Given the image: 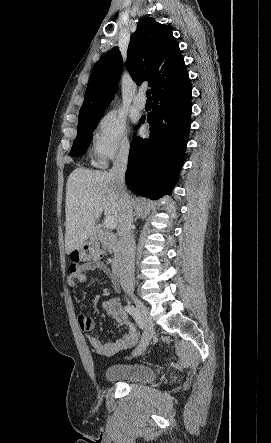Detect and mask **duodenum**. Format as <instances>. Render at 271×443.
Here are the masks:
<instances>
[{
  "mask_svg": "<svg viewBox=\"0 0 271 443\" xmlns=\"http://www.w3.org/2000/svg\"><path fill=\"white\" fill-rule=\"evenodd\" d=\"M94 237L96 239L113 238L114 236H109L100 230L94 231ZM134 257V249L132 243L128 239H124L120 243L117 256L111 264V270L116 276H122L127 272L132 264Z\"/></svg>",
  "mask_w": 271,
  "mask_h": 443,
  "instance_id": "obj_1",
  "label": "duodenum"
}]
</instances>
